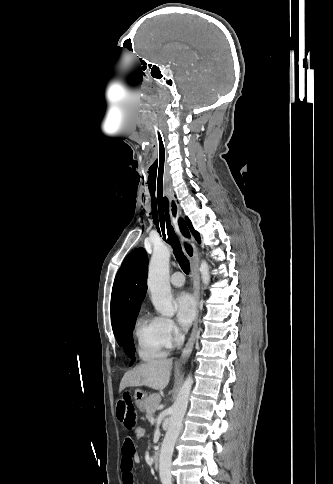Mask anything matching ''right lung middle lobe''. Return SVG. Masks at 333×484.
Masks as SVG:
<instances>
[{
    "mask_svg": "<svg viewBox=\"0 0 333 484\" xmlns=\"http://www.w3.org/2000/svg\"><path fill=\"white\" fill-rule=\"evenodd\" d=\"M137 314L138 312L130 314L118 325L116 329L113 330L119 346H123L125 352L131 358V365L135 361L132 330L135 324Z\"/></svg>",
    "mask_w": 333,
    "mask_h": 484,
    "instance_id": "1",
    "label": "right lung middle lobe"
}]
</instances>
